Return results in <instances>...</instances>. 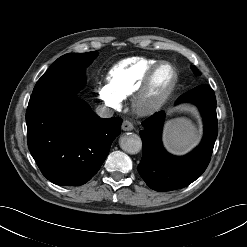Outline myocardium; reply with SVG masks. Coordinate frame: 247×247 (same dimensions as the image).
I'll list each match as a JSON object with an SVG mask.
<instances>
[{"mask_svg": "<svg viewBox=\"0 0 247 247\" xmlns=\"http://www.w3.org/2000/svg\"><path fill=\"white\" fill-rule=\"evenodd\" d=\"M168 66L173 72V80L169 87L159 97L154 100H149V88L154 75L163 67ZM179 80V74L176 67L167 61H160L152 66L144 75L143 79L135 89L131 97L133 110L142 116L151 115L159 110L174 92Z\"/></svg>", "mask_w": 247, "mask_h": 247, "instance_id": "1", "label": "myocardium"}]
</instances>
